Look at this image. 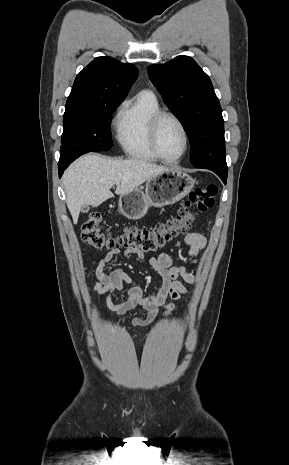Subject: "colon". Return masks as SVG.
Masks as SVG:
<instances>
[{"instance_id": "1", "label": "colon", "mask_w": 289, "mask_h": 465, "mask_svg": "<svg viewBox=\"0 0 289 465\" xmlns=\"http://www.w3.org/2000/svg\"><path fill=\"white\" fill-rule=\"evenodd\" d=\"M217 194V186L205 185L191 191L176 215L154 227L129 226L117 236L105 234L101 230V216L91 214L82 225V239L96 250H114L119 247L136 249L142 253H153L162 248L172 238L186 232L197 212L212 208Z\"/></svg>"}]
</instances>
